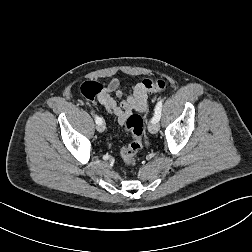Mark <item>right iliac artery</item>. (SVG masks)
Returning <instances> with one entry per match:
<instances>
[{"mask_svg":"<svg viewBox=\"0 0 252 252\" xmlns=\"http://www.w3.org/2000/svg\"><path fill=\"white\" fill-rule=\"evenodd\" d=\"M92 113H93V111H92ZM95 122H96V124H101L103 122V120H102V118L95 115Z\"/></svg>","mask_w":252,"mask_h":252,"instance_id":"82829eb1","label":"right iliac artery"}]
</instances>
